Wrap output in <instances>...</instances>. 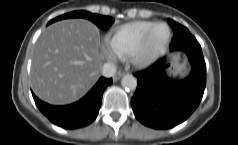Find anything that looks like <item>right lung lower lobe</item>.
<instances>
[{
  "label": "right lung lower lobe",
  "mask_w": 238,
  "mask_h": 145,
  "mask_svg": "<svg viewBox=\"0 0 238 145\" xmlns=\"http://www.w3.org/2000/svg\"><path fill=\"white\" fill-rule=\"evenodd\" d=\"M112 79L101 77L95 86L78 102L53 106L41 101L32 93L39 110L55 125L64 129H77L92 123L101 106L102 95Z\"/></svg>",
  "instance_id": "right-lung-lower-lobe-1"
}]
</instances>
